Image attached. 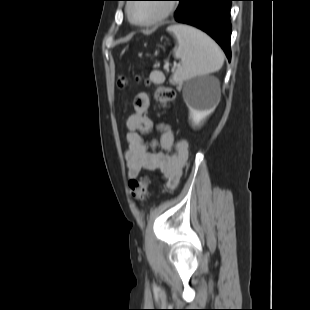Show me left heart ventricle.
<instances>
[{"label": "left heart ventricle", "instance_id": "left-heart-ventricle-1", "mask_svg": "<svg viewBox=\"0 0 310 310\" xmlns=\"http://www.w3.org/2000/svg\"><path fill=\"white\" fill-rule=\"evenodd\" d=\"M164 9V3H137L132 7V16L137 21H147L157 17Z\"/></svg>", "mask_w": 310, "mask_h": 310}]
</instances>
